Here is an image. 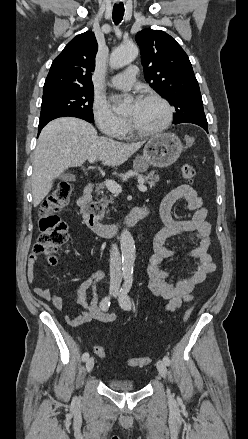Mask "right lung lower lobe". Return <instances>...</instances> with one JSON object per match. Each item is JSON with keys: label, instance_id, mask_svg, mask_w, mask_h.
<instances>
[{"label": "right lung lower lobe", "instance_id": "obj_1", "mask_svg": "<svg viewBox=\"0 0 248 439\" xmlns=\"http://www.w3.org/2000/svg\"><path fill=\"white\" fill-rule=\"evenodd\" d=\"M66 116L77 117V118H80V119L86 120V121H88L89 123H93L91 120H89V119H87V118H85V117H83V116H77V115H66ZM60 117H64V116H60ZM56 118H58V117H56ZM53 119H55V118H53ZM53 119H49V120H46V121L39 122V126H38V134L40 133V131L42 130V128H43L48 122H50V121L53 120Z\"/></svg>", "mask_w": 248, "mask_h": 439}]
</instances>
